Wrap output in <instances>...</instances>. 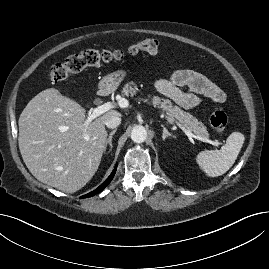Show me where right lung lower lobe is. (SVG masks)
I'll use <instances>...</instances> for the list:
<instances>
[{
	"instance_id": "right-lung-lower-lobe-1",
	"label": "right lung lower lobe",
	"mask_w": 269,
	"mask_h": 269,
	"mask_svg": "<svg viewBox=\"0 0 269 269\" xmlns=\"http://www.w3.org/2000/svg\"><path fill=\"white\" fill-rule=\"evenodd\" d=\"M116 169H117V165L115 166L114 170L112 171L111 175L107 178V180L102 183L97 189H95L94 191L86 194V195H83L81 198H87V197H91L97 193H99L100 191H102L110 182L111 180L113 179L115 173H116Z\"/></svg>"
}]
</instances>
